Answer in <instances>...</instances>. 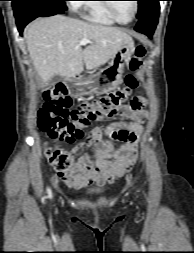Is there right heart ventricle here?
Returning a JSON list of instances; mask_svg holds the SVG:
<instances>
[{"instance_id": "obj_1", "label": "right heart ventricle", "mask_w": 194, "mask_h": 253, "mask_svg": "<svg viewBox=\"0 0 194 253\" xmlns=\"http://www.w3.org/2000/svg\"><path fill=\"white\" fill-rule=\"evenodd\" d=\"M79 9L88 21L96 24L111 26L117 22L108 13L105 3L101 0H87L81 3Z\"/></svg>"}]
</instances>
